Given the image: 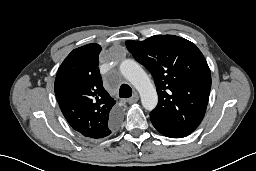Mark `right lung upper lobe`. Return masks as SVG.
<instances>
[{
  "label": "right lung upper lobe",
  "instance_id": "right-lung-upper-lobe-1",
  "mask_svg": "<svg viewBox=\"0 0 256 171\" xmlns=\"http://www.w3.org/2000/svg\"><path fill=\"white\" fill-rule=\"evenodd\" d=\"M100 51L96 43L74 49L59 67L54 84L67 122L85 137L94 139L112 133L108 124L117 111L116 101L102 85L98 68Z\"/></svg>",
  "mask_w": 256,
  "mask_h": 171
}]
</instances>
